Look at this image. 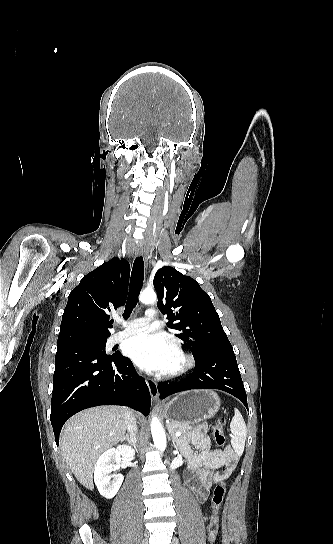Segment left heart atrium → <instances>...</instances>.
<instances>
[{
	"label": "left heart atrium",
	"instance_id": "left-heart-atrium-1",
	"mask_svg": "<svg viewBox=\"0 0 333 544\" xmlns=\"http://www.w3.org/2000/svg\"><path fill=\"white\" fill-rule=\"evenodd\" d=\"M172 351L171 344L158 334L141 331L124 342V352L146 371L163 372Z\"/></svg>",
	"mask_w": 333,
	"mask_h": 544
}]
</instances>
